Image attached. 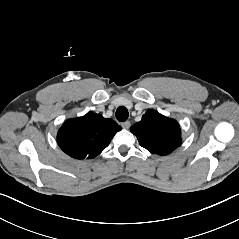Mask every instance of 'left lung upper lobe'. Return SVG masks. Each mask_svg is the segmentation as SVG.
Masks as SVG:
<instances>
[{"mask_svg":"<svg viewBox=\"0 0 239 239\" xmlns=\"http://www.w3.org/2000/svg\"><path fill=\"white\" fill-rule=\"evenodd\" d=\"M140 145L151 153L167 155L181 143L180 126L174 119L149 110L131 127Z\"/></svg>","mask_w":239,"mask_h":239,"instance_id":"5c2ea615","label":"left lung upper lobe"}]
</instances>
